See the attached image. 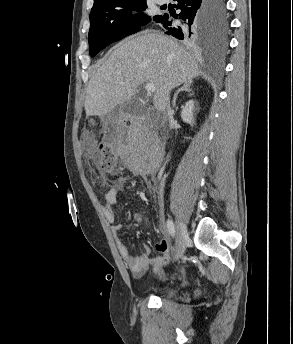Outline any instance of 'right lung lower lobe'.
<instances>
[{
	"instance_id": "1",
	"label": "right lung lower lobe",
	"mask_w": 293,
	"mask_h": 344,
	"mask_svg": "<svg viewBox=\"0 0 293 344\" xmlns=\"http://www.w3.org/2000/svg\"><path fill=\"white\" fill-rule=\"evenodd\" d=\"M177 8L181 10L179 15H163L154 20L163 24L169 35L180 40L193 42L203 51L210 52L226 41V27L223 32L218 28L215 20L216 0H176ZM224 3V0H223Z\"/></svg>"
}]
</instances>
